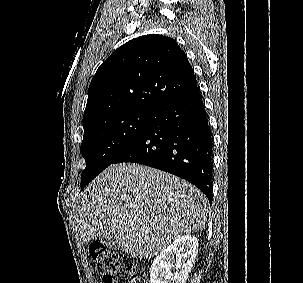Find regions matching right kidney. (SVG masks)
<instances>
[{
    "label": "right kidney",
    "mask_w": 303,
    "mask_h": 283,
    "mask_svg": "<svg viewBox=\"0 0 303 283\" xmlns=\"http://www.w3.org/2000/svg\"><path fill=\"white\" fill-rule=\"evenodd\" d=\"M197 252L195 236L183 235L175 239L154 259L150 268L151 283H185Z\"/></svg>",
    "instance_id": "ca27d5eb"
}]
</instances>
